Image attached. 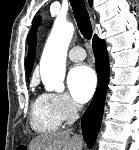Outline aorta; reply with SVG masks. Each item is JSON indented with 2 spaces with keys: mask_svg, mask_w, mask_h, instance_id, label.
Wrapping results in <instances>:
<instances>
[{
  "mask_svg": "<svg viewBox=\"0 0 139 150\" xmlns=\"http://www.w3.org/2000/svg\"><path fill=\"white\" fill-rule=\"evenodd\" d=\"M73 33L72 23L55 21L40 61L41 79L48 91H64L66 56Z\"/></svg>",
  "mask_w": 139,
  "mask_h": 150,
  "instance_id": "762f6f07",
  "label": "aorta"
}]
</instances>
